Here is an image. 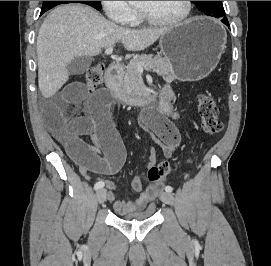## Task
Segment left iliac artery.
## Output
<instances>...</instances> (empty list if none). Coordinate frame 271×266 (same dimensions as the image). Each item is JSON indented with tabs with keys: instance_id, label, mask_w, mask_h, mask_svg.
Segmentation results:
<instances>
[{
	"instance_id": "obj_1",
	"label": "left iliac artery",
	"mask_w": 271,
	"mask_h": 266,
	"mask_svg": "<svg viewBox=\"0 0 271 266\" xmlns=\"http://www.w3.org/2000/svg\"><path fill=\"white\" fill-rule=\"evenodd\" d=\"M165 191L171 193L173 191V188L171 186H166Z\"/></svg>"
}]
</instances>
